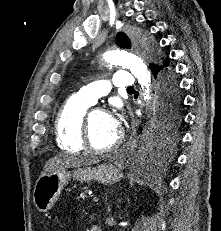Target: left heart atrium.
<instances>
[{"label": "left heart atrium", "instance_id": "left-heart-atrium-1", "mask_svg": "<svg viewBox=\"0 0 221 231\" xmlns=\"http://www.w3.org/2000/svg\"><path fill=\"white\" fill-rule=\"evenodd\" d=\"M109 117V121L111 124V127L115 130V131H119L121 129V117L119 115H115V114H108Z\"/></svg>", "mask_w": 221, "mask_h": 231}]
</instances>
